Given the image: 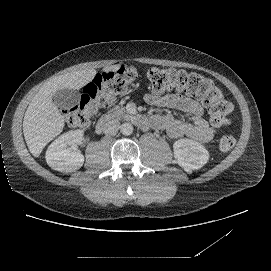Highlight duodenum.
<instances>
[{
	"mask_svg": "<svg viewBox=\"0 0 271 271\" xmlns=\"http://www.w3.org/2000/svg\"><path fill=\"white\" fill-rule=\"evenodd\" d=\"M143 124L146 122L143 121ZM117 124L110 116L102 117L96 124V132L102 134H112L116 131Z\"/></svg>",
	"mask_w": 271,
	"mask_h": 271,
	"instance_id": "obj_1",
	"label": "duodenum"
}]
</instances>
